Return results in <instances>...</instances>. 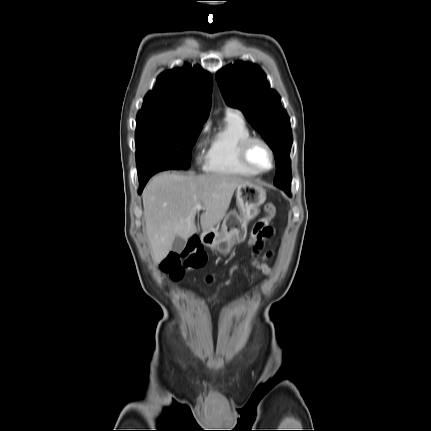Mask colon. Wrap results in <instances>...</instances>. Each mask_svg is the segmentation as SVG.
<instances>
[{"label":"colon","mask_w":431,"mask_h":431,"mask_svg":"<svg viewBox=\"0 0 431 431\" xmlns=\"http://www.w3.org/2000/svg\"><path fill=\"white\" fill-rule=\"evenodd\" d=\"M266 216L258 221L253 227L252 234L249 235L247 242V250H252L253 243L257 237L264 236L271 228V222L275 216L276 209L271 203H267L264 207ZM206 261V254L201 250L197 241L192 240L184 250L180 252H171L163 260L161 267L169 273L172 278L180 279L184 274L191 269L202 266Z\"/></svg>","instance_id":"obj_1"}]
</instances>
